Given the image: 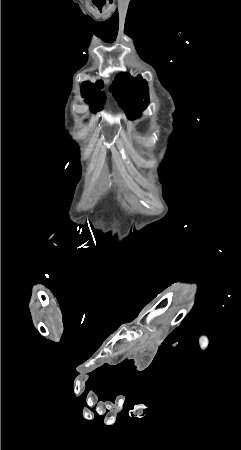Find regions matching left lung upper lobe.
Listing matches in <instances>:
<instances>
[{
  "label": "left lung upper lobe",
  "instance_id": "obj_1",
  "mask_svg": "<svg viewBox=\"0 0 241 450\" xmlns=\"http://www.w3.org/2000/svg\"><path fill=\"white\" fill-rule=\"evenodd\" d=\"M111 90L129 118L138 117L149 103L148 85L141 76L132 78L128 73H121L116 77Z\"/></svg>",
  "mask_w": 241,
  "mask_h": 450
}]
</instances>
